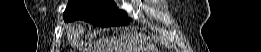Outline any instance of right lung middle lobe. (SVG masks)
I'll list each match as a JSON object with an SVG mask.
<instances>
[{"mask_svg":"<svg viewBox=\"0 0 261 52\" xmlns=\"http://www.w3.org/2000/svg\"><path fill=\"white\" fill-rule=\"evenodd\" d=\"M64 21L84 20L99 27L121 26L130 22L126 13L112 0H70L63 14Z\"/></svg>","mask_w":261,"mask_h":52,"instance_id":"dd1d6c3e","label":"right lung middle lobe"}]
</instances>
